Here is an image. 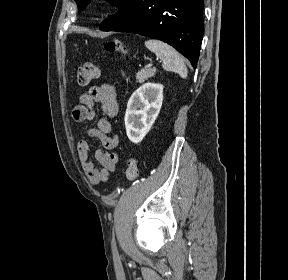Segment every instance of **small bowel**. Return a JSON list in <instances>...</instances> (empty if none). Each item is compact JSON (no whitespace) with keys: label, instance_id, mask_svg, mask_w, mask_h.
<instances>
[{"label":"small bowel","instance_id":"obj_1","mask_svg":"<svg viewBox=\"0 0 288 280\" xmlns=\"http://www.w3.org/2000/svg\"><path fill=\"white\" fill-rule=\"evenodd\" d=\"M99 103L103 116L98 120L97 126L88 130L90 137L98 138L103 149H97L94 157L100 164L96 167L91 161L89 143L82 139L78 143V157L82 169L89 182L93 185L107 182L115 171L118 162V154L115 152L118 146V137L111 135L113 119L118 113V101L115 89L109 84L92 86L81 94L79 104L72 110V118L77 123L92 121L95 116L94 104Z\"/></svg>","mask_w":288,"mask_h":280}]
</instances>
